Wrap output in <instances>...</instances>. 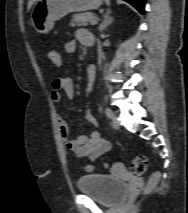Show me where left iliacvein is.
<instances>
[{"mask_svg":"<svg viewBox=\"0 0 188 213\" xmlns=\"http://www.w3.org/2000/svg\"><path fill=\"white\" fill-rule=\"evenodd\" d=\"M111 124L115 129H118L120 127L119 121L116 116H113Z\"/></svg>","mask_w":188,"mask_h":213,"instance_id":"left-iliac-vein-1","label":"left iliac vein"}]
</instances>
